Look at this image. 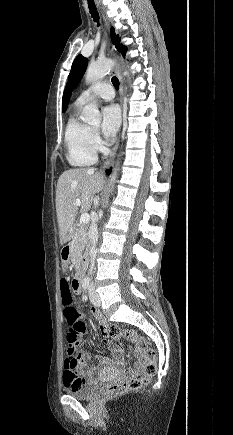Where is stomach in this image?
I'll return each instance as SVG.
<instances>
[{"label":"stomach","instance_id":"obj_1","mask_svg":"<svg viewBox=\"0 0 233 435\" xmlns=\"http://www.w3.org/2000/svg\"><path fill=\"white\" fill-rule=\"evenodd\" d=\"M64 268H66V264H64Z\"/></svg>","mask_w":233,"mask_h":435}]
</instances>
